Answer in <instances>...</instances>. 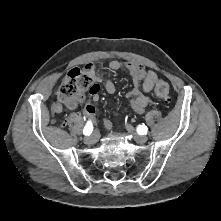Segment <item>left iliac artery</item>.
Returning a JSON list of instances; mask_svg holds the SVG:
<instances>
[{"label": "left iliac artery", "instance_id": "left-iliac-artery-1", "mask_svg": "<svg viewBox=\"0 0 221 221\" xmlns=\"http://www.w3.org/2000/svg\"><path fill=\"white\" fill-rule=\"evenodd\" d=\"M137 132L140 135H145L148 132V128L145 125H138L137 126Z\"/></svg>", "mask_w": 221, "mask_h": 221}]
</instances>
